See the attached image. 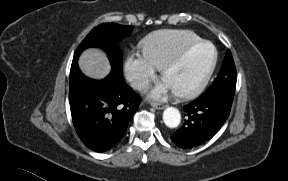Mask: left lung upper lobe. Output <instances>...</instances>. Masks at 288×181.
Instances as JSON below:
<instances>
[{
    "mask_svg": "<svg viewBox=\"0 0 288 181\" xmlns=\"http://www.w3.org/2000/svg\"><path fill=\"white\" fill-rule=\"evenodd\" d=\"M236 80L235 64L231 52L228 50L219 75L201 97L218 96L232 102L235 94Z\"/></svg>",
    "mask_w": 288,
    "mask_h": 181,
    "instance_id": "left-lung-upper-lobe-1",
    "label": "left lung upper lobe"
}]
</instances>
